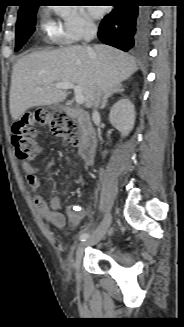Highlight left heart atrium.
I'll return each instance as SVG.
<instances>
[{
    "label": "left heart atrium",
    "instance_id": "obj_1",
    "mask_svg": "<svg viewBox=\"0 0 184 327\" xmlns=\"http://www.w3.org/2000/svg\"><path fill=\"white\" fill-rule=\"evenodd\" d=\"M91 14H92L94 17H98V16L101 14V11H100V9H98V8H93L92 11H91Z\"/></svg>",
    "mask_w": 184,
    "mask_h": 327
}]
</instances>
